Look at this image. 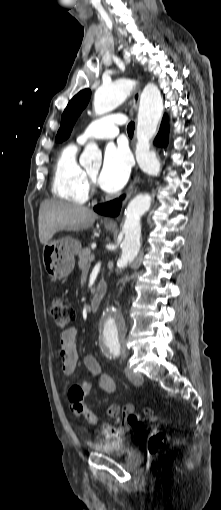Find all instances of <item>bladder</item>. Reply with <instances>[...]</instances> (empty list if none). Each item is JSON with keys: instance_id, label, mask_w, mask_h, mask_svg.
<instances>
[{"instance_id": "1", "label": "bladder", "mask_w": 221, "mask_h": 510, "mask_svg": "<svg viewBox=\"0 0 221 510\" xmlns=\"http://www.w3.org/2000/svg\"><path fill=\"white\" fill-rule=\"evenodd\" d=\"M135 446L132 436H124L116 441L101 440L94 443L91 449L112 457L126 456Z\"/></svg>"}]
</instances>
